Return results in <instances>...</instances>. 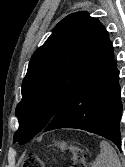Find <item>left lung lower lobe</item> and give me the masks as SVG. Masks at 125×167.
<instances>
[{"label":"left lung lower lobe","instance_id":"obj_1","mask_svg":"<svg viewBox=\"0 0 125 167\" xmlns=\"http://www.w3.org/2000/svg\"><path fill=\"white\" fill-rule=\"evenodd\" d=\"M119 70L107 36L92 69L78 89L58 110L44 132L75 128L95 133L121 147Z\"/></svg>","mask_w":125,"mask_h":167}]
</instances>
